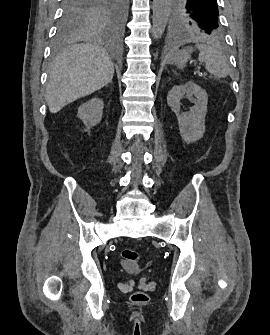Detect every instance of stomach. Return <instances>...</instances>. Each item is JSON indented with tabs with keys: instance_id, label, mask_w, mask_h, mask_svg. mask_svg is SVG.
<instances>
[{
	"instance_id": "0dacf381",
	"label": "stomach",
	"mask_w": 270,
	"mask_h": 335,
	"mask_svg": "<svg viewBox=\"0 0 270 335\" xmlns=\"http://www.w3.org/2000/svg\"><path fill=\"white\" fill-rule=\"evenodd\" d=\"M190 52L191 50H179V52H172V54H170L172 62H175L179 70H182L184 64L188 62Z\"/></svg>"
}]
</instances>
